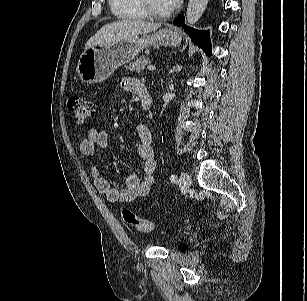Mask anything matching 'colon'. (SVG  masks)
<instances>
[{"label":"colon","mask_w":307,"mask_h":301,"mask_svg":"<svg viewBox=\"0 0 307 301\" xmlns=\"http://www.w3.org/2000/svg\"><path fill=\"white\" fill-rule=\"evenodd\" d=\"M68 108L75 121L80 124L92 119L95 113L94 103L82 95H72L68 100ZM122 219L139 232L149 233L153 230V223L150 220L141 218L130 210L122 211Z\"/></svg>","instance_id":"colon-1"}]
</instances>
